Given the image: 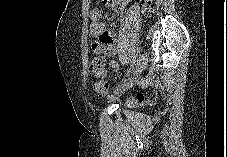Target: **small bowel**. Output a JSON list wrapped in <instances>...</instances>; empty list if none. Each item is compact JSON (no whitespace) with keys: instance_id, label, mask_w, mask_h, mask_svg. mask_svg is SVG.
Instances as JSON below:
<instances>
[{"instance_id":"small-bowel-1","label":"small bowel","mask_w":227,"mask_h":157,"mask_svg":"<svg viewBox=\"0 0 227 157\" xmlns=\"http://www.w3.org/2000/svg\"><path fill=\"white\" fill-rule=\"evenodd\" d=\"M131 0H103L106 5L112 6L116 12L123 13ZM90 33L97 39V45L106 55L113 56L117 52L116 36L114 32L109 30L102 20V11L98 8L90 12ZM97 54L101 53L100 49L96 50ZM113 71L118 69V64L115 61L110 63Z\"/></svg>"}]
</instances>
